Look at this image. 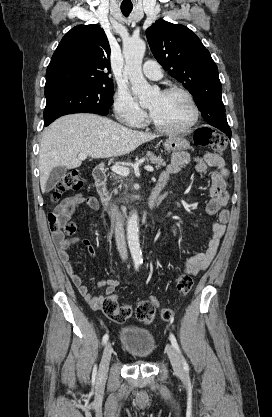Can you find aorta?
I'll list each match as a JSON object with an SVG mask.
<instances>
[{"instance_id": "762f6f07", "label": "aorta", "mask_w": 272, "mask_h": 417, "mask_svg": "<svg viewBox=\"0 0 272 417\" xmlns=\"http://www.w3.org/2000/svg\"><path fill=\"white\" fill-rule=\"evenodd\" d=\"M146 50V44L141 39H130L124 43L123 54L125 57V72L127 73L131 90L138 96L141 106H147L159 93L158 87L151 86L142 73V60ZM127 239L131 256L135 262L142 260V252L138 235V214L133 211L128 220Z\"/></svg>"}]
</instances>
